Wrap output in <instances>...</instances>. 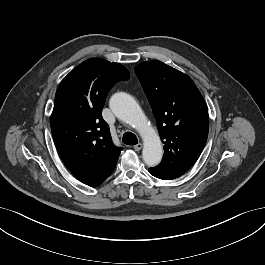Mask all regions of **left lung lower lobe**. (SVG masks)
I'll return each mask as SVG.
<instances>
[{
    "label": "left lung lower lobe",
    "mask_w": 265,
    "mask_h": 265,
    "mask_svg": "<svg viewBox=\"0 0 265 265\" xmlns=\"http://www.w3.org/2000/svg\"><path fill=\"white\" fill-rule=\"evenodd\" d=\"M153 176L157 177V178H160L156 175V173L152 170V168H149L148 170ZM161 179V178H160Z\"/></svg>",
    "instance_id": "1"
}]
</instances>
